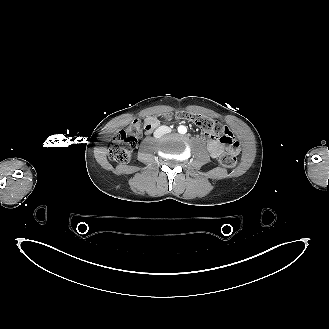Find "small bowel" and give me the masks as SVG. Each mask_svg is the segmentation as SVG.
<instances>
[{
    "instance_id": "obj_1",
    "label": "small bowel",
    "mask_w": 329,
    "mask_h": 329,
    "mask_svg": "<svg viewBox=\"0 0 329 329\" xmlns=\"http://www.w3.org/2000/svg\"><path fill=\"white\" fill-rule=\"evenodd\" d=\"M162 119L173 120V117H170V116L159 117V120H162ZM145 121L147 124L150 125V128L148 129V131H150L152 129V127L155 126L156 121L153 117H147L145 119ZM226 130L228 133L232 134L228 128H226ZM205 137L207 138V149L209 151V154L213 158H220V156H222L225 152V149H224V146L222 145V143L220 141H218L215 137H213L209 134H205Z\"/></svg>"
}]
</instances>
